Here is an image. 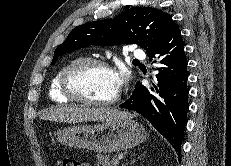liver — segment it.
Listing matches in <instances>:
<instances>
[{
	"mask_svg": "<svg viewBox=\"0 0 231 166\" xmlns=\"http://www.w3.org/2000/svg\"><path fill=\"white\" fill-rule=\"evenodd\" d=\"M131 115L128 112L109 107H89L78 105H57L43 111L40 119L56 121L79 123L86 121H115L120 117ZM133 116V115H131Z\"/></svg>",
	"mask_w": 231,
	"mask_h": 166,
	"instance_id": "liver-1",
	"label": "liver"
}]
</instances>
